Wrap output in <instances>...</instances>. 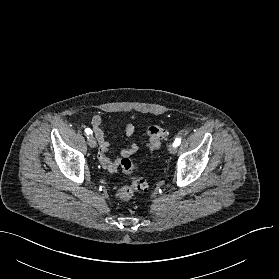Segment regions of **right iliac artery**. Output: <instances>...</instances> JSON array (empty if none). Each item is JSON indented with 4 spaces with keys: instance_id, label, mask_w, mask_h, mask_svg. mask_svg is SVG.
I'll return each mask as SVG.
<instances>
[{
    "instance_id": "obj_1",
    "label": "right iliac artery",
    "mask_w": 279,
    "mask_h": 279,
    "mask_svg": "<svg viewBox=\"0 0 279 279\" xmlns=\"http://www.w3.org/2000/svg\"><path fill=\"white\" fill-rule=\"evenodd\" d=\"M86 134H92V130L90 128L85 129Z\"/></svg>"
}]
</instances>
